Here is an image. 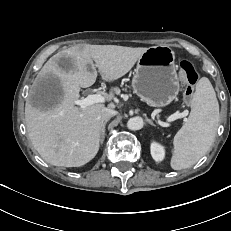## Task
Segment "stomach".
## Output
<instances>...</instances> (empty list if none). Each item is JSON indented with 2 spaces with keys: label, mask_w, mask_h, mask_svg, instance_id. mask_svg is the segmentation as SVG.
Segmentation results:
<instances>
[{
  "label": "stomach",
  "mask_w": 231,
  "mask_h": 231,
  "mask_svg": "<svg viewBox=\"0 0 231 231\" xmlns=\"http://www.w3.org/2000/svg\"><path fill=\"white\" fill-rule=\"evenodd\" d=\"M175 54L170 47H150L137 61L133 92L153 107H165L178 95L179 78Z\"/></svg>",
  "instance_id": "obj_1"
}]
</instances>
